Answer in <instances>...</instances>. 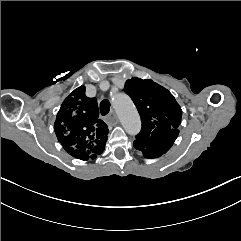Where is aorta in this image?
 I'll list each match as a JSON object with an SVG mask.
<instances>
[{
	"label": "aorta",
	"mask_w": 241,
	"mask_h": 241,
	"mask_svg": "<svg viewBox=\"0 0 241 241\" xmlns=\"http://www.w3.org/2000/svg\"><path fill=\"white\" fill-rule=\"evenodd\" d=\"M112 103L125 131L136 135L141 129V121L132 100L126 94H118L112 98Z\"/></svg>",
	"instance_id": "1"
}]
</instances>
